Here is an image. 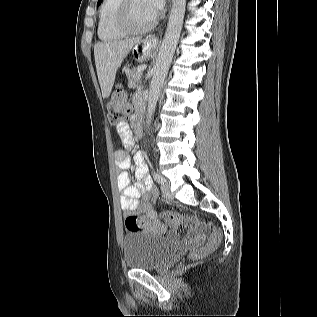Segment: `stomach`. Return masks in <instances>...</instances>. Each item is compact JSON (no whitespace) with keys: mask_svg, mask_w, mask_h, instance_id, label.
Returning <instances> with one entry per match:
<instances>
[{"mask_svg":"<svg viewBox=\"0 0 317 317\" xmlns=\"http://www.w3.org/2000/svg\"><path fill=\"white\" fill-rule=\"evenodd\" d=\"M116 78L120 79V81L116 82V87H123V88L127 87V82L125 81V79L127 78V70L126 69H123L122 72H117Z\"/></svg>","mask_w":317,"mask_h":317,"instance_id":"stomach-1","label":"stomach"}]
</instances>
